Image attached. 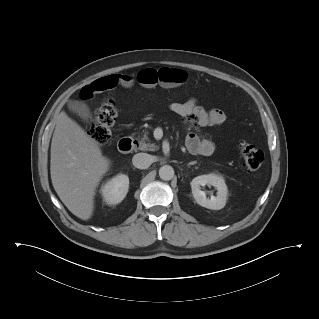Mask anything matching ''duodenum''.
<instances>
[{
  "label": "duodenum",
  "instance_id": "1",
  "mask_svg": "<svg viewBox=\"0 0 319 319\" xmlns=\"http://www.w3.org/2000/svg\"><path fill=\"white\" fill-rule=\"evenodd\" d=\"M135 144L136 142L133 139L123 138L118 143V149L122 153H127L134 148Z\"/></svg>",
  "mask_w": 319,
  "mask_h": 319
}]
</instances>
